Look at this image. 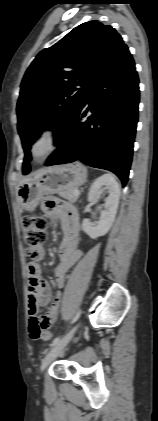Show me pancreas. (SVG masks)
Masks as SVG:
<instances>
[{
  "instance_id": "obj_1",
  "label": "pancreas",
  "mask_w": 158,
  "mask_h": 421,
  "mask_svg": "<svg viewBox=\"0 0 158 421\" xmlns=\"http://www.w3.org/2000/svg\"><path fill=\"white\" fill-rule=\"evenodd\" d=\"M74 190H76V189L75 188H73V189H67V190H64V191L59 192V195L61 197L65 198V199H67L68 201L74 203L78 199V196H75L74 193H73Z\"/></svg>"
}]
</instances>
